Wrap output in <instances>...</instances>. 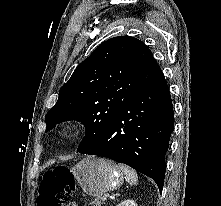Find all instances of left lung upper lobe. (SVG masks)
<instances>
[{
    "label": "left lung upper lobe",
    "mask_w": 221,
    "mask_h": 206,
    "mask_svg": "<svg viewBox=\"0 0 221 206\" xmlns=\"http://www.w3.org/2000/svg\"><path fill=\"white\" fill-rule=\"evenodd\" d=\"M163 73L152 52L130 36L100 44L73 72L46 114L47 130L66 120L80 121L86 135L77 151L99 139L125 106Z\"/></svg>",
    "instance_id": "left-lung-upper-lobe-1"
}]
</instances>
